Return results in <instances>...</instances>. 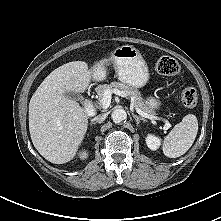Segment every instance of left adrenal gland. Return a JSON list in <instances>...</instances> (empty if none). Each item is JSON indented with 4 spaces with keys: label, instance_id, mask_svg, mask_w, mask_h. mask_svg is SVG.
Instances as JSON below:
<instances>
[{
    "label": "left adrenal gland",
    "instance_id": "1",
    "mask_svg": "<svg viewBox=\"0 0 221 221\" xmlns=\"http://www.w3.org/2000/svg\"><path fill=\"white\" fill-rule=\"evenodd\" d=\"M132 116L135 119L137 126L139 125L140 121L147 122L146 119L139 117V116L135 115L134 113H132Z\"/></svg>",
    "mask_w": 221,
    "mask_h": 221
}]
</instances>
